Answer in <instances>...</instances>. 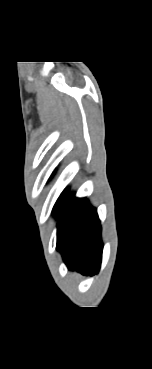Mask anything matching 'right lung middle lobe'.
Segmentation results:
<instances>
[{"label": "right lung middle lobe", "instance_id": "obj_1", "mask_svg": "<svg viewBox=\"0 0 152 369\" xmlns=\"http://www.w3.org/2000/svg\"><path fill=\"white\" fill-rule=\"evenodd\" d=\"M66 197V191H64L61 196L59 197V199L57 200L55 206H54V209H53V212L57 215L58 212H59V209H60V206L63 202V200L65 199Z\"/></svg>", "mask_w": 152, "mask_h": 369}]
</instances>
